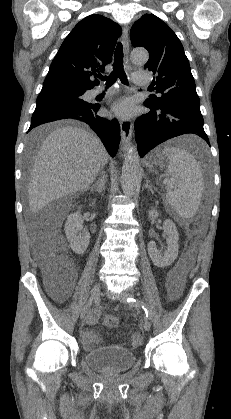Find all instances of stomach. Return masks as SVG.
<instances>
[{"instance_id":"0dacf381","label":"stomach","mask_w":231,"mask_h":419,"mask_svg":"<svg viewBox=\"0 0 231 419\" xmlns=\"http://www.w3.org/2000/svg\"><path fill=\"white\" fill-rule=\"evenodd\" d=\"M155 163H156V155L154 154H151L150 156H148L145 161L146 166L149 168H152Z\"/></svg>"}]
</instances>
